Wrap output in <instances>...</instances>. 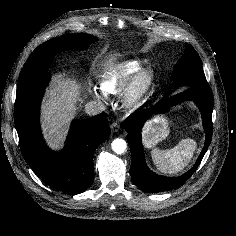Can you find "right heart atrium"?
<instances>
[{
    "label": "right heart atrium",
    "instance_id": "1",
    "mask_svg": "<svg viewBox=\"0 0 236 236\" xmlns=\"http://www.w3.org/2000/svg\"><path fill=\"white\" fill-rule=\"evenodd\" d=\"M93 95L100 100H104L106 98V95L103 91L98 90V89H94L93 90Z\"/></svg>",
    "mask_w": 236,
    "mask_h": 236
}]
</instances>
